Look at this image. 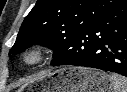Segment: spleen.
<instances>
[{
	"label": "spleen",
	"mask_w": 127,
	"mask_h": 92,
	"mask_svg": "<svg viewBox=\"0 0 127 92\" xmlns=\"http://www.w3.org/2000/svg\"><path fill=\"white\" fill-rule=\"evenodd\" d=\"M110 80L113 84V92H127V79L117 75L111 74L109 75Z\"/></svg>",
	"instance_id": "obj_1"
}]
</instances>
